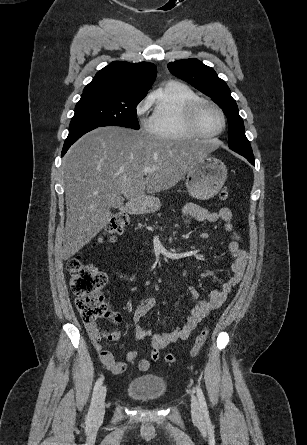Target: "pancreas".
Segmentation results:
<instances>
[{"label": "pancreas", "mask_w": 307, "mask_h": 445, "mask_svg": "<svg viewBox=\"0 0 307 445\" xmlns=\"http://www.w3.org/2000/svg\"><path fill=\"white\" fill-rule=\"evenodd\" d=\"M138 227H145V225H141V223H138Z\"/></svg>", "instance_id": "1"}]
</instances>
